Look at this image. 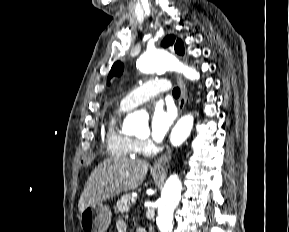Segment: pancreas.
Segmentation results:
<instances>
[{"label":"pancreas","instance_id":"pancreas-1","mask_svg":"<svg viewBox=\"0 0 289 232\" xmlns=\"http://www.w3.org/2000/svg\"><path fill=\"white\" fill-rule=\"evenodd\" d=\"M131 196L129 194L123 195L118 201L115 206L116 213H127L131 207Z\"/></svg>","mask_w":289,"mask_h":232}]
</instances>
